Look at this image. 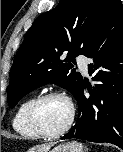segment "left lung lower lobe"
I'll return each instance as SVG.
<instances>
[{
    "label": "left lung lower lobe",
    "mask_w": 123,
    "mask_h": 152,
    "mask_svg": "<svg viewBox=\"0 0 123 152\" xmlns=\"http://www.w3.org/2000/svg\"><path fill=\"white\" fill-rule=\"evenodd\" d=\"M88 58L89 74L95 87L85 83L75 96L79 105L78 123L61 139L77 138L107 142L123 149V4L107 18L100 37L92 45Z\"/></svg>",
    "instance_id": "0a47b994"
}]
</instances>
